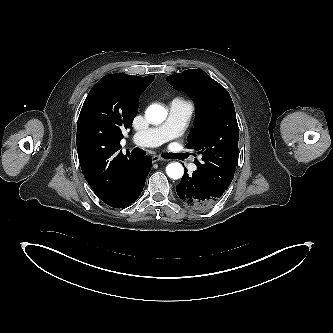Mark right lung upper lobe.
Returning <instances> with one entry per match:
<instances>
[{"label": "right lung upper lobe", "mask_w": 333, "mask_h": 333, "mask_svg": "<svg viewBox=\"0 0 333 333\" xmlns=\"http://www.w3.org/2000/svg\"><path fill=\"white\" fill-rule=\"evenodd\" d=\"M155 76L112 74L89 92L77 122V152L83 175L106 202L119 191L126 165L135 157L120 151L122 132L132 126L139 97Z\"/></svg>", "instance_id": "1"}]
</instances>
